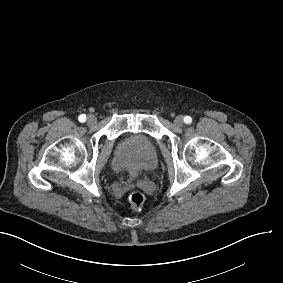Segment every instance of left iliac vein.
Returning a JSON list of instances; mask_svg holds the SVG:
<instances>
[{
  "instance_id": "4c4485c4",
  "label": "left iliac vein",
  "mask_w": 283,
  "mask_h": 283,
  "mask_svg": "<svg viewBox=\"0 0 283 283\" xmlns=\"http://www.w3.org/2000/svg\"><path fill=\"white\" fill-rule=\"evenodd\" d=\"M184 124L183 116L179 115L174 119V125L177 127H181Z\"/></svg>"
}]
</instances>
